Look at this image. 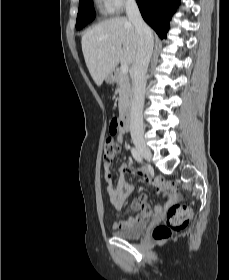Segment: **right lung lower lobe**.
Here are the masks:
<instances>
[{"label": "right lung lower lobe", "instance_id": "right-lung-lower-lobe-1", "mask_svg": "<svg viewBox=\"0 0 229 280\" xmlns=\"http://www.w3.org/2000/svg\"><path fill=\"white\" fill-rule=\"evenodd\" d=\"M143 19L156 31L160 38H165L169 21L174 14L179 0H136Z\"/></svg>", "mask_w": 229, "mask_h": 280}]
</instances>
